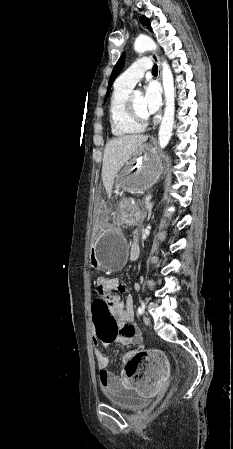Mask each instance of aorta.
<instances>
[{"mask_svg": "<svg viewBox=\"0 0 233 449\" xmlns=\"http://www.w3.org/2000/svg\"><path fill=\"white\" fill-rule=\"evenodd\" d=\"M134 49L136 52L144 53L146 51L156 50L157 45L150 37L139 36L135 41ZM162 82L165 94V111L160 124L158 136L160 147L165 148L172 135L175 113L174 79L170 66L165 60L162 63Z\"/></svg>", "mask_w": 233, "mask_h": 449, "instance_id": "762f6f07", "label": "aorta"}]
</instances>
